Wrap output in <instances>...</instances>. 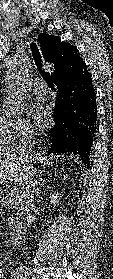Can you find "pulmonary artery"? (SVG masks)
I'll return each mask as SVG.
<instances>
[{
  "label": "pulmonary artery",
  "mask_w": 113,
  "mask_h": 279,
  "mask_svg": "<svg viewBox=\"0 0 113 279\" xmlns=\"http://www.w3.org/2000/svg\"><path fill=\"white\" fill-rule=\"evenodd\" d=\"M30 86H31L32 90L37 94H46L48 91V88H47L45 82L38 78L31 80Z\"/></svg>",
  "instance_id": "pulmonary-artery-1"
}]
</instances>
